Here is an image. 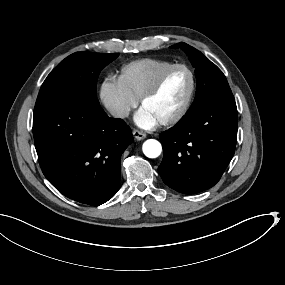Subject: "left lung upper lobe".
Instances as JSON below:
<instances>
[{
    "label": "left lung upper lobe",
    "instance_id": "5c2ea615",
    "mask_svg": "<svg viewBox=\"0 0 285 285\" xmlns=\"http://www.w3.org/2000/svg\"><path fill=\"white\" fill-rule=\"evenodd\" d=\"M171 48H181L189 56L195 67L197 96L189 110L213 100H234V96L223 72L200 51L186 43H178Z\"/></svg>",
    "mask_w": 285,
    "mask_h": 285
}]
</instances>
